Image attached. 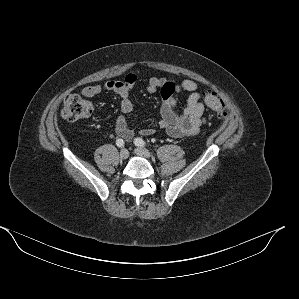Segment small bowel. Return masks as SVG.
Instances as JSON below:
<instances>
[{"label": "small bowel", "mask_w": 299, "mask_h": 299, "mask_svg": "<svg viewBox=\"0 0 299 299\" xmlns=\"http://www.w3.org/2000/svg\"><path fill=\"white\" fill-rule=\"evenodd\" d=\"M136 82L137 76L129 73L123 80H111L101 85L85 87L82 90V95L86 98L95 97L103 92H114L120 97L122 114L115 120V131L123 141H130L134 135L126 115L133 109L130 94ZM146 89L149 93L160 91L162 118L158 122V127L168 136L178 138L194 135L206 123L205 105L198 92V83L194 80L187 79L176 83L164 77H151ZM181 92H189L190 95L184 110L178 112L176 95ZM154 132L155 129L152 127H144L140 130L143 135H151Z\"/></svg>", "instance_id": "c3829d8e"}]
</instances>
